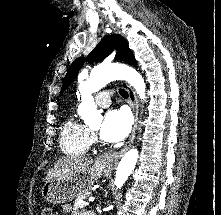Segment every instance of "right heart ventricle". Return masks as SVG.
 Wrapping results in <instances>:
<instances>
[{"label": "right heart ventricle", "mask_w": 221, "mask_h": 215, "mask_svg": "<svg viewBox=\"0 0 221 215\" xmlns=\"http://www.w3.org/2000/svg\"><path fill=\"white\" fill-rule=\"evenodd\" d=\"M92 144L90 130L74 118H69L62 126L60 148L65 154L83 155Z\"/></svg>", "instance_id": "1"}]
</instances>
